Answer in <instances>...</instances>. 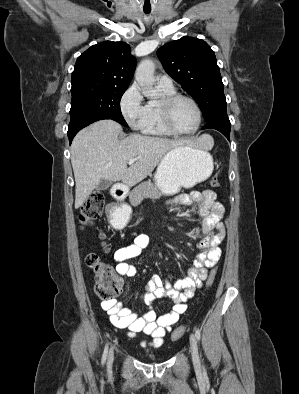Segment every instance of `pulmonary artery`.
I'll use <instances>...</instances> for the list:
<instances>
[{
  "mask_svg": "<svg viewBox=\"0 0 299 394\" xmlns=\"http://www.w3.org/2000/svg\"><path fill=\"white\" fill-rule=\"evenodd\" d=\"M158 85L166 88H172L173 82L172 79L168 75H160L158 77Z\"/></svg>",
  "mask_w": 299,
  "mask_h": 394,
  "instance_id": "1",
  "label": "pulmonary artery"
}]
</instances>
